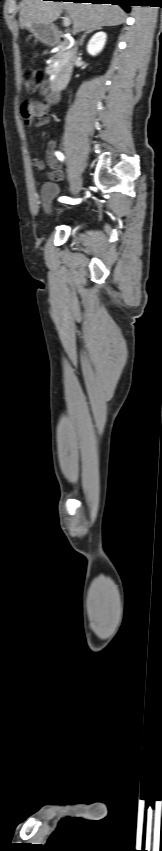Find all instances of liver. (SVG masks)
<instances>
[{
  "instance_id": "liver-1",
  "label": "liver",
  "mask_w": 162,
  "mask_h": 851,
  "mask_svg": "<svg viewBox=\"0 0 162 851\" xmlns=\"http://www.w3.org/2000/svg\"><path fill=\"white\" fill-rule=\"evenodd\" d=\"M67 10L73 31L80 32L103 26H117L125 22L126 14L117 5L82 2L22 0L19 22L23 29L29 22L52 24Z\"/></svg>"
}]
</instances>
